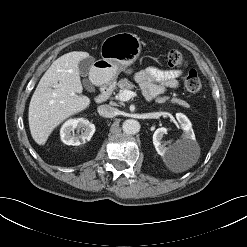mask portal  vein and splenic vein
<instances>
[{
	"instance_id": "portal-vein-and-splenic-vein-1",
	"label": "portal vein and splenic vein",
	"mask_w": 247,
	"mask_h": 247,
	"mask_svg": "<svg viewBox=\"0 0 247 247\" xmlns=\"http://www.w3.org/2000/svg\"><path fill=\"white\" fill-rule=\"evenodd\" d=\"M136 95L137 94L131 90H124L117 95V98L120 101L125 102L130 100L132 97H135Z\"/></svg>"
}]
</instances>
